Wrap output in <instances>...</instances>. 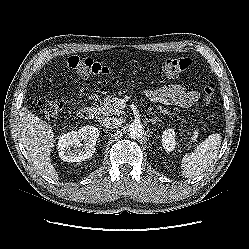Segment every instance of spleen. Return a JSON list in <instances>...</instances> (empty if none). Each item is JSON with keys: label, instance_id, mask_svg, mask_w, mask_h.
Returning <instances> with one entry per match:
<instances>
[{"label": "spleen", "instance_id": "1", "mask_svg": "<svg viewBox=\"0 0 249 249\" xmlns=\"http://www.w3.org/2000/svg\"><path fill=\"white\" fill-rule=\"evenodd\" d=\"M220 145L219 134L209 135L193 152L184 155L181 165L182 175L191 178L205 172L217 157Z\"/></svg>", "mask_w": 249, "mask_h": 249}]
</instances>
